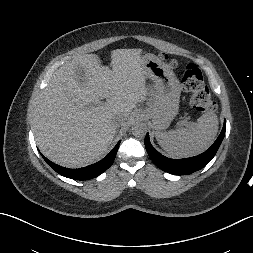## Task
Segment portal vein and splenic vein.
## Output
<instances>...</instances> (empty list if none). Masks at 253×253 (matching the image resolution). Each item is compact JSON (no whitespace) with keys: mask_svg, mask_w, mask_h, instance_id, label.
I'll return each mask as SVG.
<instances>
[{"mask_svg":"<svg viewBox=\"0 0 253 253\" xmlns=\"http://www.w3.org/2000/svg\"><path fill=\"white\" fill-rule=\"evenodd\" d=\"M99 103H101V102H99ZM180 123L183 124V125H186V124H187L184 120L181 121Z\"/></svg>","mask_w":253,"mask_h":253,"instance_id":"1","label":"portal vein and splenic vein"}]
</instances>
